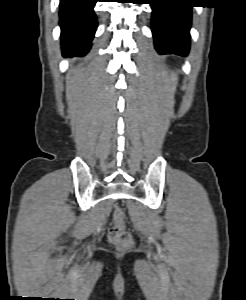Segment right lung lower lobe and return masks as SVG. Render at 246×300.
I'll return each mask as SVG.
<instances>
[{"label":"right lung lower lobe","instance_id":"98d812e1","mask_svg":"<svg viewBox=\"0 0 246 300\" xmlns=\"http://www.w3.org/2000/svg\"><path fill=\"white\" fill-rule=\"evenodd\" d=\"M99 0H60L62 51L65 57L84 56L91 47L97 21L93 8Z\"/></svg>","mask_w":246,"mask_h":300}]
</instances>
